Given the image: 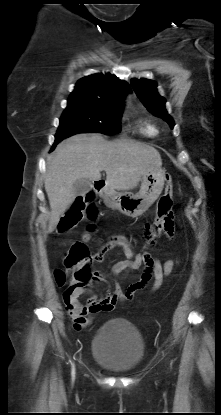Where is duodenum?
Wrapping results in <instances>:
<instances>
[{"label": "duodenum", "instance_id": "obj_1", "mask_svg": "<svg viewBox=\"0 0 221 415\" xmlns=\"http://www.w3.org/2000/svg\"><path fill=\"white\" fill-rule=\"evenodd\" d=\"M94 190L101 194L106 190V183L104 180H97L94 183Z\"/></svg>", "mask_w": 221, "mask_h": 415}]
</instances>
